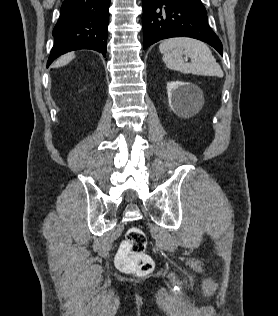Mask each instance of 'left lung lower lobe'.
Listing matches in <instances>:
<instances>
[{"instance_id":"0a47b994","label":"left lung lower lobe","mask_w":278,"mask_h":316,"mask_svg":"<svg viewBox=\"0 0 278 316\" xmlns=\"http://www.w3.org/2000/svg\"><path fill=\"white\" fill-rule=\"evenodd\" d=\"M144 49L166 38L204 41L222 55V43L208 25L201 0H142Z\"/></svg>"}]
</instances>
